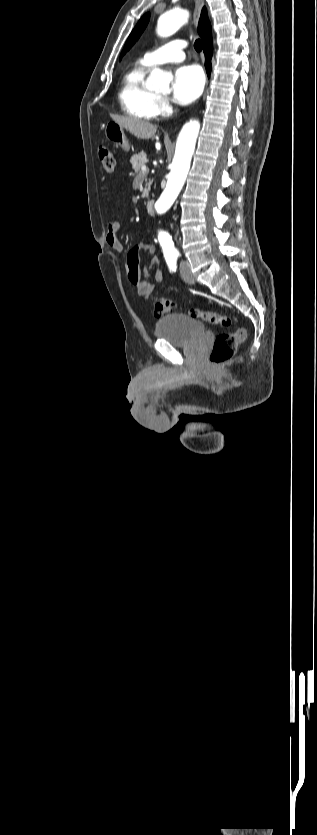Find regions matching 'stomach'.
Segmentation results:
<instances>
[{
	"label": "stomach",
	"mask_w": 317,
	"mask_h": 835,
	"mask_svg": "<svg viewBox=\"0 0 317 835\" xmlns=\"http://www.w3.org/2000/svg\"><path fill=\"white\" fill-rule=\"evenodd\" d=\"M104 131L108 141L122 148L126 152L130 150V145L124 133L123 126L116 123L115 121H110L107 122Z\"/></svg>",
	"instance_id": "stomach-1"
}]
</instances>
